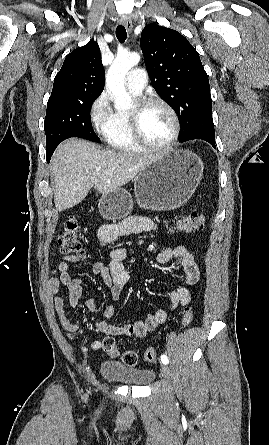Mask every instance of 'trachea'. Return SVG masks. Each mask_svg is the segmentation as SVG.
<instances>
[{
	"mask_svg": "<svg viewBox=\"0 0 269 445\" xmlns=\"http://www.w3.org/2000/svg\"><path fill=\"white\" fill-rule=\"evenodd\" d=\"M116 37L119 40V42L123 43L127 38L126 29L124 26L119 25L116 29Z\"/></svg>",
	"mask_w": 269,
	"mask_h": 445,
	"instance_id": "1",
	"label": "trachea"
}]
</instances>
